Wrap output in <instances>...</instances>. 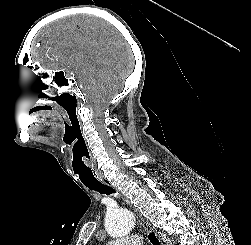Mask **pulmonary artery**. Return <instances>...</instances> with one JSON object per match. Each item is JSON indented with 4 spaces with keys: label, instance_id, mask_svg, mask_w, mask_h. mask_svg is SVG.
<instances>
[{
    "label": "pulmonary artery",
    "instance_id": "obj_1",
    "mask_svg": "<svg viewBox=\"0 0 251 245\" xmlns=\"http://www.w3.org/2000/svg\"><path fill=\"white\" fill-rule=\"evenodd\" d=\"M142 237L140 235H133L125 239L113 240L107 245H142Z\"/></svg>",
    "mask_w": 251,
    "mask_h": 245
}]
</instances>
